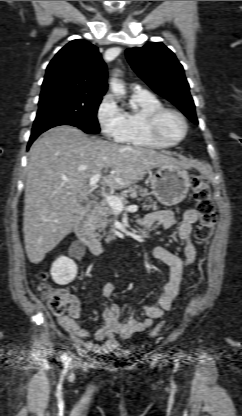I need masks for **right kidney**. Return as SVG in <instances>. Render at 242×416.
I'll return each mask as SVG.
<instances>
[{
  "label": "right kidney",
  "instance_id": "right-kidney-1",
  "mask_svg": "<svg viewBox=\"0 0 242 416\" xmlns=\"http://www.w3.org/2000/svg\"><path fill=\"white\" fill-rule=\"evenodd\" d=\"M77 270V265L72 259L60 256L53 262L50 272L55 283L66 285L75 279Z\"/></svg>",
  "mask_w": 242,
  "mask_h": 416
}]
</instances>
